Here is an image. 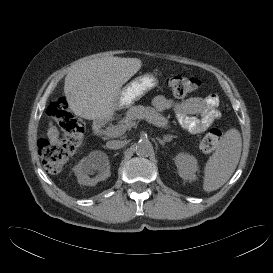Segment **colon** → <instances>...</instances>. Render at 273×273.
Instances as JSON below:
<instances>
[{
	"label": "colon",
	"instance_id": "1",
	"mask_svg": "<svg viewBox=\"0 0 273 273\" xmlns=\"http://www.w3.org/2000/svg\"><path fill=\"white\" fill-rule=\"evenodd\" d=\"M199 85V80L194 77L175 75L166 80L167 89L177 98L191 94L198 89ZM48 114L58 121L67 133V137L55 143L41 141L38 149L44 166L50 172L58 173L70 156L82 145L85 128L83 123L68 111V104L64 98L53 102L48 108ZM222 137V129H210L201 142L202 150L205 152L215 150L220 145Z\"/></svg>",
	"mask_w": 273,
	"mask_h": 273
}]
</instances>
